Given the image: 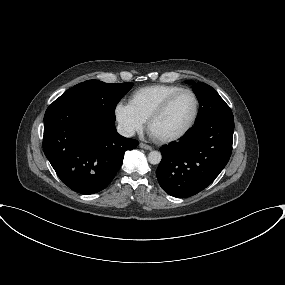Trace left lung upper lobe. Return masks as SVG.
Listing matches in <instances>:
<instances>
[{
    "instance_id": "1",
    "label": "left lung upper lobe",
    "mask_w": 285,
    "mask_h": 285,
    "mask_svg": "<svg viewBox=\"0 0 285 285\" xmlns=\"http://www.w3.org/2000/svg\"><path fill=\"white\" fill-rule=\"evenodd\" d=\"M189 83L192 84L200 104L195 125L216 118H233L231 109L214 88L202 82L189 81Z\"/></svg>"
}]
</instances>
